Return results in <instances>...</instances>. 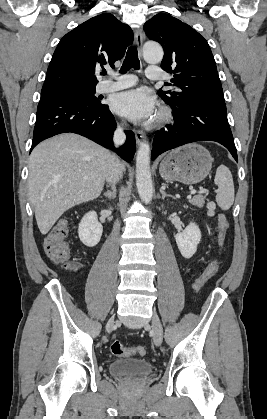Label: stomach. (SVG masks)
<instances>
[{"instance_id": "obj_1", "label": "stomach", "mask_w": 267, "mask_h": 419, "mask_svg": "<svg viewBox=\"0 0 267 419\" xmlns=\"http://www.w3.org/2000/svg\"><path fill=\"white\" fill-rule=\"evenodd\" d=\"M210 152L197 143L187 144L168 153L159 166L161 177L167 182L186 185L201 182L212 168Z\"/></svg>"}]
</instances>
